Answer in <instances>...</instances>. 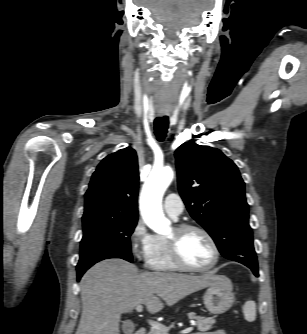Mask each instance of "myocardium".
Returning a JSON list of instances; mask_svg holds the SVG:
<instances>
[{
    "label": "myocardium",
    "mask_w": 307,
    "mask_h": 334,
    "mask_svg": "<svg viewBox=\"0 0 307 334\" xmlns=\"http://www.w3.org/2000/svg\"><path fill=\"white\" fill-rule=\"evenodd\" d=\"M174 230L176 233L175 236L172 238H167L166 242L171 259L178 268L191 272H203V271H208L217 265L220 258V249L216 240L208 230H206L202 226L188 223L179 224L174 227ZM188 231H198L202 233L211 244L214 257L211 263H209L208 265L202 267L192 266L189 263H187L184 257L182 256L179 245L180 237Z\"/></svg>",
    "instance_id": "obj_1"
}]
</instances>
